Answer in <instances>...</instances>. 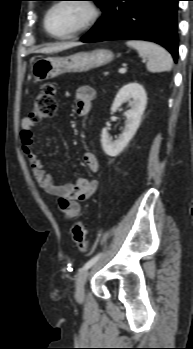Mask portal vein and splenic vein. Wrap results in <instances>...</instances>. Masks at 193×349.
<instances>
[{"mask_svg": "<svg viewBox=\"0 0 193 349\" xmlns=\"http://www.w3.org/2000/svg\"><path fill=\"white\" fill-rule=\"evenodd\" d=\"M118 71H119V73H125L126 72V68H120Z\"/></svg>", "mask_w": 193, "mask_h": 349, "instance_id": "18ae733b", "label": "portal vein and splenic vein"}]
</instances>
